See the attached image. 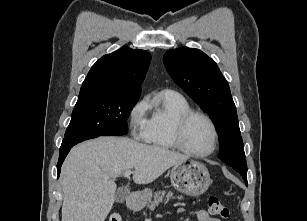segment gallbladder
Returning <instances> with one entry per match:
<instances>
[{"label":"gallbladder","instance_id":"gallbladder-1","mask_svg":"<svg viewBox=\"0 0 307 221\" xmlns=\"http://www.w3.org/2000/svg\"><path fill=\"white\" fill-rule=\"evenodd\" d=\"M126 199V190L124 188H120L115 193V200L118 203H122Z\"/></svg>","mask_w":307,"mask_h":221}]
</instances>
